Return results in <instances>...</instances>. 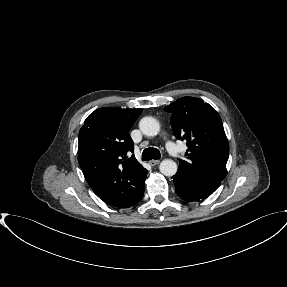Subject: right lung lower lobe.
I'll return each instance as SVG.
<instances>
[{
  "mask_svg": "<svg viewBox=\"0 0 287 287\" xmlns=\"http://www.w3.org/2000/svg\"><path fill=\"white\" fill-rule=\"evenodd\" d=\"M144 183H145V180L143 181L142 185L140 186V188L138 189L137 193L134 195L132 200H130L129 203H127L125 206H123L121 208L130 207L142 199L143 194H144Z\"/></svg>",
  "mask_w": 287,
  "mask_h": 287,
  "instance_id": "right-lung-lower-lobe-1",
  "label": "right lung lower lobe"
}]
</instances>
